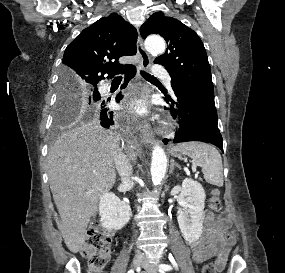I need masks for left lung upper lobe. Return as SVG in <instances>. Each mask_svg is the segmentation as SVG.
Masks as SVG:
<instances>
[{"mask_svg": "<svg viewBox=\"0 0 285 273\" xmlns=\"http://www.w3.org/2000/svg\"><path fill=\"white\" fill-rule=\"evenodd\" d=\"M140 33L143 38L160 34L166 40L168 48L155 63L168 70L173 90L214 92L206 50L196 32L157 12L141 26Z\"/></svg>", "mask_w": 285, "mask_h": 273, "instance_id": "obj_1", "label": "left lung upper lobe"}]
</instances>
